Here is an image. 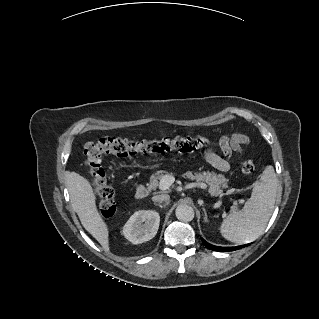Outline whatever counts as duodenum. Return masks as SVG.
<instances>
[{
	"label": "duodenum",
	"instance_id": "duodenum-1",
	"mask_svg": "<svg viewBox=\"0 0 319 319\" xmlns=\"http://www.w3.org/2000/svg\"><path fill=\"white\" fill-rule=\"evenodd\" d=\"M148 195H149V191H148L147 187H145L144 185L137 186V188L135 190V198L137 200H143V199L147 198Z\"/></svg>",
	"mask_w": 319,
	"mask_h": 319
}]
</instances>
